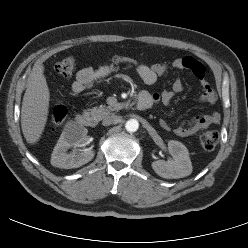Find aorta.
Masks as SVG:
<instances>
[{
  "instance_id": "1",
  "label": "aorta",
  "mask_w": 248,
  "mask_h": 248,
  "mask_svg": "<svg viewBox=\"0 0 248 248\" xmlns=\"http://www.w3.org/2000/svg\"><path fill=\"white\" fill-rule=\"evenodd\" d=\"M125 128L128 132H136L139 128V122L136 119H130L126 122Z\"/></svg>"
}]
</instances>
